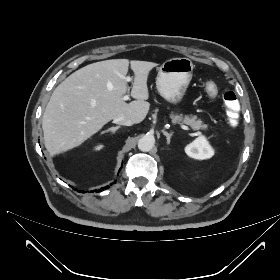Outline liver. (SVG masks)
I'll use <instances>...</instances> for the list:
<instances>
[{"mask_svg": "<svg viewBox=\"0 0 280 280\" xmlns=\"http://www.w3.org/2000/svg\"><path fill=\"white\" fill-rule=\"evenodd\" d=\"M129 64L134 72L130 103L122 100L128 91ZM157 64L111 59L89 64L67 77L51 95L43 114L45 146L55 155L81 145L117 117L142 122L150 104L147 79Z\"/></svg>", "mask_w": 280, "mask_h": 280, "instance_id": "liver-1", "label": "liver"}]
</instances>
